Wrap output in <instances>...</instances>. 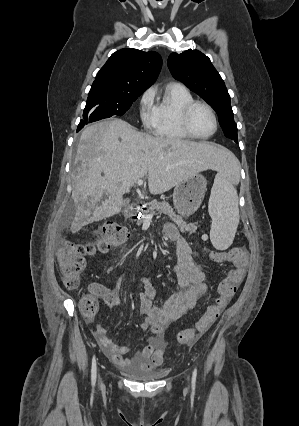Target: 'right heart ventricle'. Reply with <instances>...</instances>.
Instances as JSON below:
<instances>
[{
	"label": "right heart ventricle",
	"instance_id": "right-heart-ventricle-1",
	"mask_svg": "<svg viewBox=\"0 0 299 426\" xmlns=\"http://www.w3.org/2000/svg\"><path fill=\"white\" fill-rule=\"evenodd\" d=\"M193 100L191 92L184 85L179 83L167 84L155 106L154 134L168 140L189 139L190 137L181 127L180 117L185 105Z\"/></svg>",
	"mask_w": 299,
	"mask_h": 426
}]
</instances>
